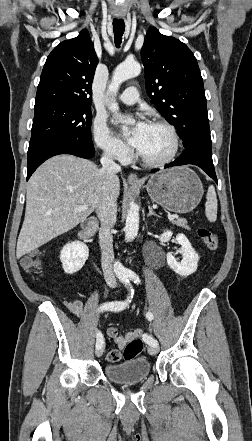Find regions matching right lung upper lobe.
<instances>
[{
    "mask_svg": "<svg viewBox=\"0 0 252 441\" xmlns=\"http://www.w3.org/2000/svg\"><path fill=\"white\" fill-rule=\"evenodd\" d=\"M98 58L87 30L57 45L47 57L35 106L48 103L90 105Z\"/></svg>",
    "mask_w": 252,
    "mask_h": 441,
    "instance_id": "cb5924a9",
    "label": "right lung upper lobe"
}]
</instances>
